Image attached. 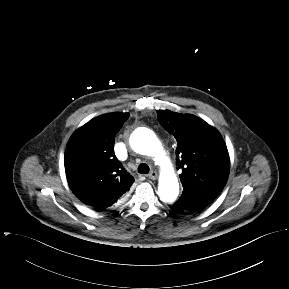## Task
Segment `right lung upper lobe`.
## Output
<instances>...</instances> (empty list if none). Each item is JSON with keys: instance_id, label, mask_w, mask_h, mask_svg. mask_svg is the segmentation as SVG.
I'll use <instances>...</instances> for the list:
<instances>
[{"instance_id": "obj_1", "label": "right lung upper lobe", "mask_w": 289, "mask_h": 289, "mask_svg": "<svg viewBox=\"0 0 289 289\" xmlns=\"http://www.w3.org/2000/svg\"><path fill=\"white\" fill-rule=\"evenodd\" d=\"M129 113L92 119L71 136L65 152L69 186L82 202L103 210L124 198L134 179L114 153L116 133Z\"/></svg>"}]
</instances>
